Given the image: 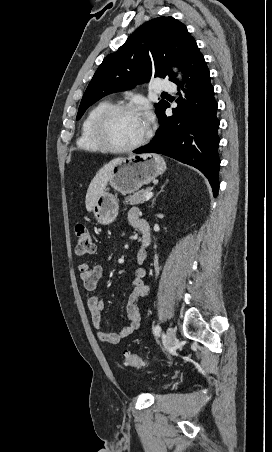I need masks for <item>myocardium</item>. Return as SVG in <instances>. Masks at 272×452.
I'll list each match as a JSON object with an SVG mask.
<instances>
[{
    "label": "myocardium",
    "instance_id": "obj_1",
    "mask_svg": "<svg viewBox=\"0 0 272 452\" xmlns=\"http://www.w3.org/2000/svg\"><path fill=\"white\" fill-rule=\"evenodd\" d=\"M120 112L140 113L138 108L133 105L110 104L98 113L93 123V133L96 140L105 150L111 152H128L137 149L145 144L151 135V128L148 126L144 135L137 141L128 145L115 143L110 137L109 122L114 115Z\"/></svg>",
    "mask_w": 272,
    "mask_h": 452
}]
</instances>
